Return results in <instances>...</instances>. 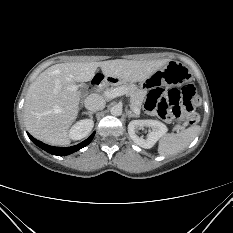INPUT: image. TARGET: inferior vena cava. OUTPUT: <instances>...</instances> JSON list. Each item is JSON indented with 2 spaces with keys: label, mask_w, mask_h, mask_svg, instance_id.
Instances as JSON below:
<instances>
[{
  "label": "inferior vena cava",
  "mask_w": 233,
  "mask_h": 233,
  "mask_svg": "<svg viewBox=\"0 0 233 233\" xmlns=\"http://www.w3.org/2000/svg\"><path fill=\"white\" fill-rule=\"evenodd\" d=\"M86 109L89 111L95 112L105 108V100L103 97L97 94H91L86 97L84 101Z\"/></svg>",
  "instance_id": "1"
}]
</instances>
